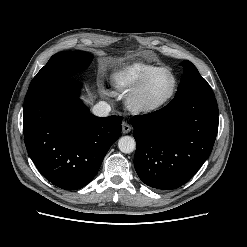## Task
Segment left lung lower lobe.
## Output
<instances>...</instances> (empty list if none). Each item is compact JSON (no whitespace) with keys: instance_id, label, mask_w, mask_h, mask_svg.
<instances>
[{"instance_id":"0a47b994","label":"left lung lower lobe","mask_w":247,"mask_h":247,"mask_svg":"<svg viewBox=\"0 0 247 247\" xmlns=\"http://www.w3.org/2000/svg\"><path fill=\"white\" fill-rule=\"evenodd\" d=\"M136 140L134 167L148 186L176 189L209 157L218 131L213 91L191 90L155 112L132 118Z\"/></svg>"}]
</instances>
